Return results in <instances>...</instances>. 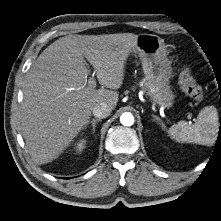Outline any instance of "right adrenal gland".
I'll return each mask as SVG.
<instances>
[{
    "instance_id": "right-adrenal-gland-1",
    "label": "right adrenal gland",
    "mask_w": 221,
    "mask_h": 221,
    "mask_svg": "<svg viewBox=\"0 0 221 221\" xmlns=\"http://www.w3.org/2000/svg\"><path fill=\"white\" fill-rule=\"evenodd\" d=\"M101 121V119H92L90 122H89V124H90V127L92 128V134H94V132H95V127H96V124L98 123V122H100ZM87 127H89V125H87L84 129H87Z\"/></svg>"
}]
</instances>
